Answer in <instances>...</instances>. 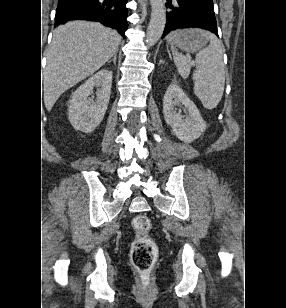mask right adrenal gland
<instances>
[{"label": "right adrenal gland", "mask_w": 286, "mask_h": 308, "mask_svg": "<svg viewBox=\"0 0 286 308\" xmlns=\"http://www.w3.org/2000/svg\"><path fill=\"white\" fill-rule=\"evenodd\" d=\"M117 53L114 54L113 59H110L107 63H111L113 61L114 65H116Z\"/></svg>", "instance_id": "2a0ac1e0"}]
</instances>
